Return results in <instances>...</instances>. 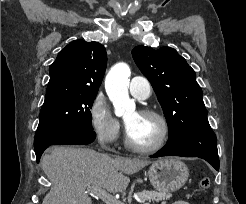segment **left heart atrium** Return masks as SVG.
I'll list each match as a JSON object with an SVG mask.
<instances>
[{
    "label": "left heart atrium",
    "instance_id": "obj_1",
    "mask_svg": "<svg viewBox=\"0 0 246 204\" xmlns=\"http://www.w3.org/2000/svg\"><path fill=\"white\" fill-rule=\"evenodd\" d=\"M131 123H126V128H127V130H129V128L131 127Z\"/></svg>",
    "mask_w": 246,
    "mask_h": 204
}]
</instances>
